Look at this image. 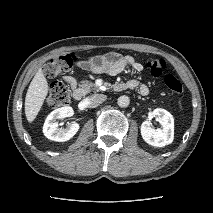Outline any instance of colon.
<instances>
[{
  "instance_id": "5ec220e1",
  "label": "colon",
  "mask_w": 213,
  "mask_h": 213,
  "mask_svg": "<svg viewBox=\"0 0 213 213\" xmlns=\"http://www.w3.org/2000/svg\"><path fill=\"white\" fill-rule=\"evenodd\" d=\"M75 63L74 54H65L50 59L45 65L44 71L48 77H56L69 71ZM146 67L154 77H160L166 68V62L159 58H150L146 62ZM165 87L174 94L182 92V84L171 74H167L163 79ZM72 97L68 89L59 81H53L49 86L47 104L49 107L58 108L69 105Z\"/></svg>"
}]
</instances>
